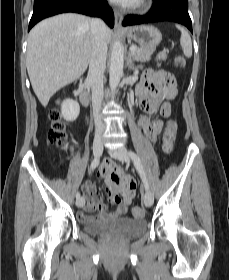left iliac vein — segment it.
<instances>
[{"mask_svg": "<svg viewBox=\"0 0 229 280\" xmlns=\"http://www.w3.org/2000/svg\"><path fill=\"white\" fill-rule=\"evenodd\" d=\"M108 153L115 159H118L122 162L128 163L130 161V157L128 154V151L125 147H120L116 150H108ZM154 198L152 192L147 189L144 196H143V202L146 207H151L153 204Z\"/></svg>", "mask_w": 229, "mask_h": 280, "instance_id": "4c4485c4", "label": "left iliac vein"}]
</instances>
